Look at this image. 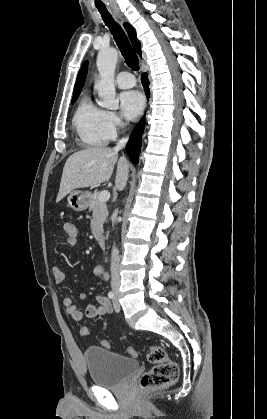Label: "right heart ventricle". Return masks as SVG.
I'll return each instance as SVG.
<instances>
[{"mask_svg": "<svg viewBox=\"0 0 267 419\" xmlns=\"http://www.w3.org/2000/svg\"><path fill=\"white\" fill-rule=\"evenodd\" d=\"M105 112L92 99L83 96L73 115L72 123L81 142L89 147H101L109 137L105 130Z\"/></svg>", "mask_w": 267, "mask_h": 419, "instance_id": "1", "label": "right heart ventricle"}]
</instances>
